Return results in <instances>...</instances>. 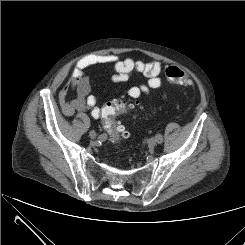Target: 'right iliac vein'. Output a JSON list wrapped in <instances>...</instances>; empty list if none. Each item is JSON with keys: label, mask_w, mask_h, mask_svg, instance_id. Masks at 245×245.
<instances>
[{"label": "right iliac vein", "mask_w": 245, "mask_h": 245, "mask_svg": "<svg viewBox=\"0 0 245 245\" xmlns=\"http://www.w3.org/2000/svg\"><path fill=\"white\" fill-rule=\"evenodd\" d=\"M89 137H90L91 139H95V138H96V133H95L94 131H90V132H89Z\"/></svg>", "instance_id": "1"}]
</instances>
